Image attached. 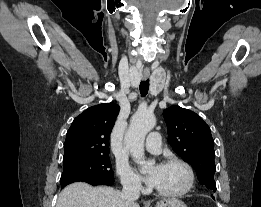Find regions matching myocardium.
Listing matches in <instances>:
<instances>
[{
	"instance_id": "f54148a6",
	"label": "myocardium",
	"mask_w": 261,
	"mask_h": 207,
	"mask_svg": "<svg viewBox=\"0 0 261 207\" xmlns=\"http://www.w3.org/2000/svg\"><path fill=\"white\" fill-rule=\"evenodd\" d=\"M162 165L181 166L186 172V183L180 190L173 191V192L162 191L160 189L154 188V190L158 195L163 197H168V198H176L187 194L192 189L194 184V173L191 166L187 162L177 158H170L163 161Z\"/></svg>"
}]
</instances>
